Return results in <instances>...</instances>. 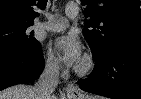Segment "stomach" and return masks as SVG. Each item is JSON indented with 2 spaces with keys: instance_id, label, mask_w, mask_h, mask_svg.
<instances>
[{
  "instance_id": "obj_1",
  "label": "stomach",
  "mask_w": 141,
  "mask_h": 99,
  "mask_svg": "<svg viewBox=\"0 0 141 99\" xmlns=\"http://www.w3.org/2000/svg\"><path fill=\"white\" fill-rule=\"evenodd\" d=\"M68 99H87L86 96L82 95V96H75V97H69Z\"/></svg>"
}]
</instances>
